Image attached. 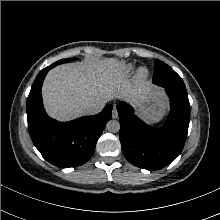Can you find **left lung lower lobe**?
Wrapping results in <instances>:
<instances>
[{"mask_svg": "<svg viewBox=\"0 0 220 220\" xmlns=\"http://www.w3.org/2000/svg\"><path fill=\"white\" fill-rule=\"evenodd\" d=\"M164 88L170 98L171 111L161 128H153L139 120L125 102L117 105L122 152L130 163L147 170L169 165L181 153L188 133L190 104L187 91Z\"/></svg>", "mask_w": 220, "mask_h": 220, "instance_id": "0a47b994", "label": "left lung lower lobe"}]
</instances>
